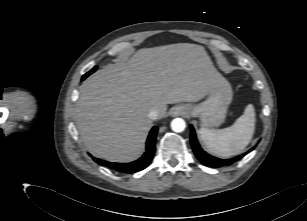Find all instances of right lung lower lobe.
<instances>
[{
    "mask_svg": "<svg viewBox=\"0 0 307 221\" xmlns=\"http://www.w3.org/2000/svg\"><path fill=\"white\" fill-rule=\"evenodd\" d=\"M85 78L86 77L84 75L82 80H84ZM157 131H158V128L156 126L152 128L148 136L146 152L140 159L134 162L114 163V162L104 161L98 158H93V160L100 165L107 166L110 169H113L115 171L122 172V173H133V172H138L140 170H143L151 163V160L154 156Z\"/></svg>",
    "mask_w": 307,
    "mask_h": 221,
    "instance_id": "obj_1",
    "label": "right lung lower lobe"
}]
</instances>
